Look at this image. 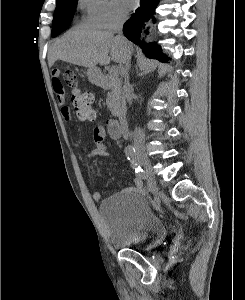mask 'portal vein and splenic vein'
I'll return each instance as SVG.
<instances>
[{
	"label": "portal vein and splenic vein",
	"mask_w": 245,
	"mask_h": 300,
	"mask_svg": "<svg viewBox=\"0 0 245 300\" xmlns=\"http://www.w3.org/2000/svg\"><path fill=\"white\" fill-rule=\"evenodd\" d=\"M110 72L113 73V74H117V73H119V68L118 67H114V68H112L110 70Z\"/></svg>",
	"instance_id": "obj_1"
}]
</instances>
